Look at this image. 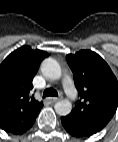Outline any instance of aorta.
Wrapping results in <instances>:
<instances>
[{"instance_id":"1","label":"aorta","mask_w":118,"mask_h":142,"mask_svg":"<svg viewBox=\"0 0 118 142\" xmlns=\"http://www.w3.org/2000/svg\"><path fill=\"white\" fill-rule=\"evenodd\" d=\"M41 71L44 76L51 80H58L62 76L61 67L53 58H47L42 62ZM54 108L57 114L66 116L72 110V103L67 99L60 100L55 104Z\"/></svg>"}]
</instances>
